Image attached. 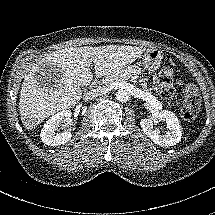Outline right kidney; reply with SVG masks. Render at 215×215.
<instances>
[{"label": "right kidney", "mask_w": 215, "mask_h": 215, "mask_svg": "<svg viewBox=\"0 0 215 215\" xmlns=\"http://www.w3.org/2000/svg\"><path fill=\"white\" fill-rule=\"evenodd\" d=\"M71 121V110L65 109L54 114L46 123L41 131L40 138L42 142L49 146H61L68 143L73 134L70 131L57 133L60 124Z\"/></svg>", "instance_id": "ca27d5eb"}]
</instances>
